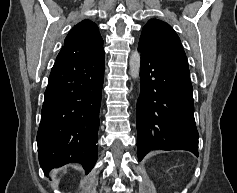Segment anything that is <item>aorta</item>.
I'll return each mask as SVG.
<instances>
[{"label": "aorta", "mask_w": 237, "mask_h": 193, "mask_svg": "<svg viewBox=\"0 0 237 193\" xmlns=\"http://www.w3.org/2000/svg\"><path fill=\"white\" fill-rule=\"evenodd\" d=\"M141 56L138 51H134L129 59L130 75L133 79H138L140 74Z\"/></svg>", "instance_id": "762f6f07"}]
</instances>
